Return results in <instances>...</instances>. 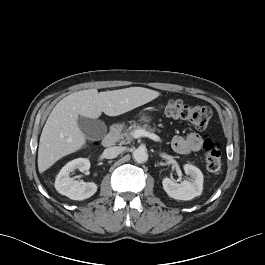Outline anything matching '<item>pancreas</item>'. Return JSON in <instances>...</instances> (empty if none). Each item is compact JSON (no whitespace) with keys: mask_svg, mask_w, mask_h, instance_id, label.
<instances>
[{"mask_svg":"<svg viewBox=\"0 0 265 265\" xmlns=\"http://www.w3.org/2000/svg\"><path fill=\"white\" fill-rule=\"evenodd\" d=\"M146 130L148 132H154L155 129H151L148 126H141L139 124H132L129 128L127 129H119L115 133V140L119 142L120 144H129L133 140V133L136 130Z\"/></svg>","mask_w":265,"mask_h":265,"instance_id":"pancreas-1","label":"pancreas"}]
</instances>
